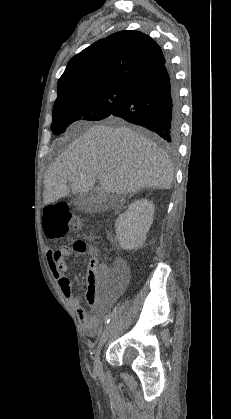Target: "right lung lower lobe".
I'll return each instance as SVG.
<instances>
[{
	"label": "right lung lower lobe",
	"mask_w": 231,
	"mask_h": 419,
	"mask_svg": "<svg viewBox=\"0 0 231 419\" xmlns=\"http://www.w3.org/2000/svg\"><path fill=\"white\" fill-rule=\"evenodd\" d=\"M180 115L178 89L168 62L138 79L110 114L147 127L169 146L178 140Z\"/></svg>",
	"instance_id": "right-lung-lower-lobe-1"
}]
</instances>
